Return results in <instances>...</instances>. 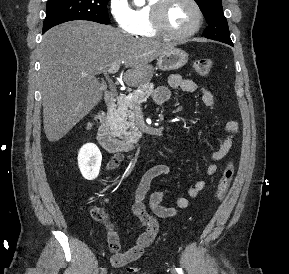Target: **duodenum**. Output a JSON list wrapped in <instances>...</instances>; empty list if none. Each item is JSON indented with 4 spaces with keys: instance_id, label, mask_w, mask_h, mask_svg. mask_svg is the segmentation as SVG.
<instances>
[{
    "instance_id": "duodenum-1",
    "label": "duodenum",
    "mask_w": 289,
    "mask_h": 274,
    "mask_svg": "<svg viewBox=\"0 0 289 274\" xmlns=\"http://www.w3.org/2000/svg\"><path fill=\"white\" fill-rule=\"evenodd\" d=\"M106 115L100 122L97 130V138L101 146L110 153H121L136 149L139 145L117 138L111 125V118L116 106V96L113 91L105 94Z\"/></svg>"
}]
</instances>
